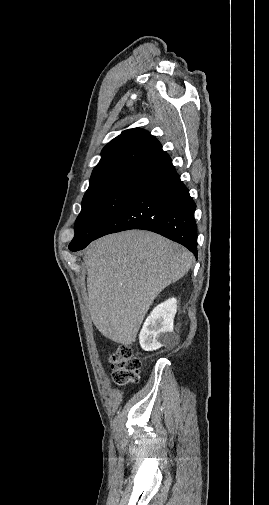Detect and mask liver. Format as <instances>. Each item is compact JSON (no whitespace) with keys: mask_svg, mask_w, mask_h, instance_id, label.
<instances>
[{"mask_svg":"<svg viewBox=\"0 0 269 505\" xmlns=\"http://www.w3.org/2000/svg\"><path fill=\"white\" fill-rule=\"evenodd\" d=\"M83 260L94 325L106 338L131 345L156 296L190 270L194 257L158 234L129 230L92 242Z\"/></svg>","mask_w":269,"mask_h":505,"instance_id":"1","label":"liver"}]
</instances>
